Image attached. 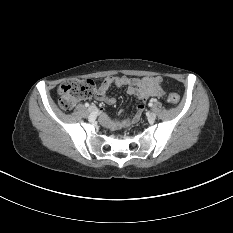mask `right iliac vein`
I'll return each instance as SVG.
<instances>
[{
  "label": "right iliac vein",
  "mask_w": 233,
  "mask_h": 233,
  "mask_svg": "<svg viewBox=\"0 0 233 233\" xmlns=\"http://www.w3.org/2000/svg\"><path fill=\"white\" fill-rule=\"evenodd\" d=\"M88 111H89L91 114H96V113H97V108H96V106L91 105V106L88 108Z\"/></svg>",
  "instance_id": "1"
}]
</instances>
